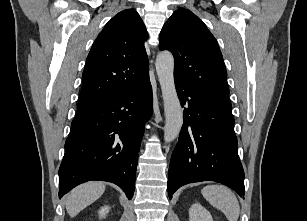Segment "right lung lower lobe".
Wrapping results in <instances>:
<instances>
[{"instance_id":"right-lung-lower-lobe-1","label":"right lung lower lobe","mask_w":307,"mask_h":221,"mask_svg":"<svg viewBox=\"0 0 307 221\" xmlns=\"http://www.w3.org/2000/svg\"><path fill=\"white\" fill-rule=\"evenodd\" d=\"M152 105L148 77L140 87L76 113L59 168V198L76 185L102 180L115 183L131 199Z\"/></svg>"}]
</instances>
